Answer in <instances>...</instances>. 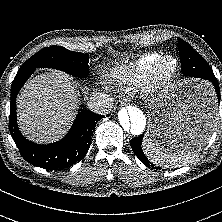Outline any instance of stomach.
<instances>
[{"label":"stomach","mask_w":222,"mask_h":222,"mask_svg":"<svg viewBox=\"0 0 222 222\" xmlns=\"http://www.w3.org/2000/svg\"><path fill=\"white\" fill-rule=\"evenodd\" d=\"M146 136L165 148L197 151L206 145L215 118L214 93L196 79L168 86L148 105Z\"/></svg>","instance_id":"1"}]
</instances>
